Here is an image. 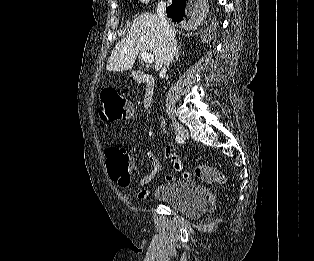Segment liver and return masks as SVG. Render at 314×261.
<instances>
[{"mask_svg": "<svg viewBox=\"0 0 314 261\" xmlns=\"http://www.w3.org/2000/svg\"><path fill=\"white\" fill-rule=\"evenodd\" d=\"M142 51H150L155 59V70L163 65L164 33L161 19L154 13H142L132 23L128 34L113 49L107 71L131 69Z\"/></svg>", "mask_w": 314, "mask_h": 261, "instance_id": "6515ba94", "label": "liver"}]
</instances>
